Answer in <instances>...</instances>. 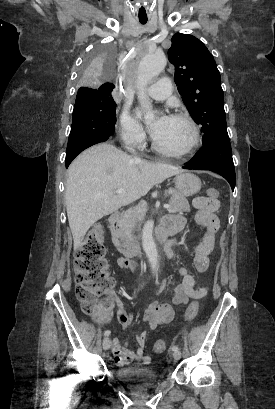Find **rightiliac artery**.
<instances>
[{"instance_id": "obj_1", "label": "right iliac artery", "mask_w": 275, "mask_h": 409, "mask_svg": "<svg viewBox=\"0 0 275 409\" xmlns=\"http://www.w3.org/2000/svg\"><path fill=\"white\" fill-rule=\"evenodd\" d=\"M110 333H111L110 330H106V331L104 332V335H105V336H108Z\"/></svg>"}]
</instances>
